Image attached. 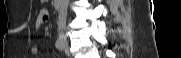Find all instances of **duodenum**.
I'll list each match as a JSON object with an SVG mask.
<instances>
[{
	"mask_svg": "<svg viewBox=\"0 0 181 58\" xmlns=\"http://www.w3.org/2000/svg\"><path fill=\"white\" fill-rule=\"evenodd\" d=\"M63 0H54L53 5L57 10H60L62 7Z\"/></svg>",
	"mask_w": 181,
	"mask_h": 58,
	"instance_id": "410a0bca",
	"label": "duodenum"
}]
</instances>
